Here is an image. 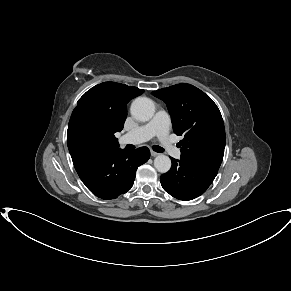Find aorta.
Returning <instances> with one entry per match:
<instances>
[{"instance_id":"obj_1","label":"aorta","mask_w":291,"mask_h":291,"mask_svg":"<svg viewBox=\"0 0 291 291\" xmlns=\"http://www.w3.org/2000/svg\"><path fill=\"white\" fill-rule=\"evenodd\" d=\"M131 115L139 121L150 120L155 113L154 102L147 97L136 98L130 107ZM154 167L160 173H166L171 168V160L164 154H159L154 159Z\"/></svg>"}]
</instances>
